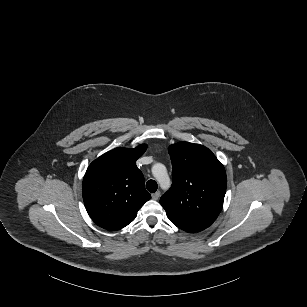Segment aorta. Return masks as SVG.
I'll return each instance as SVG.
<instances>
[{"label": "aorta", "instance_id": "762f6f07", "mask_svg": "<svg viewBox=\"0 0 307 307\" xmlns=\"http://www.w3.org/2000/svg\"><path fill=\"white\" fill-rule=\"evenodd\" d=\"M152 175L159 182L160 187L163 190L169 189L171 186L170 177L167 172V168L162 163H156L152 166Z\"/></svg>", "mask_w": 307, "mask_h": 307}]
</instances>
